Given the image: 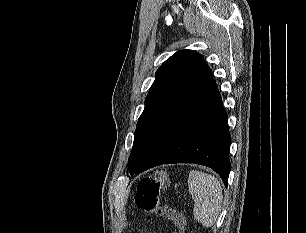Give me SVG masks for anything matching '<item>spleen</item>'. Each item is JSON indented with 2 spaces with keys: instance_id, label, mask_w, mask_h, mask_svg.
<instances>
[{
  "instance_id": "3e777b00",
  "label": "spleen",
  "mask_w": 306,
  "mask_h": 233,
  "mask_svg": "<svg viewBox=\"0 0 306 233\" xmlns=\"http://www.w3.org/2000/svg\"><path fill=\"white\" fill-rule=\"evenodd\" d=\"M189 192L194 200V218L204 227L215 224L223 200L219 180L210 174L191 170L188 178Z\"/></svg>"
}]
</instances>
